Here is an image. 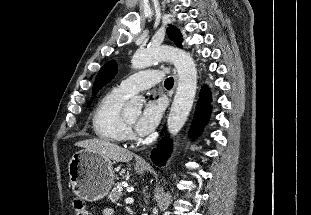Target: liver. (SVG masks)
Wrapping results in <instances>:
<instances>
[{
    "instance_id": "liver-1",
    "label": "liver",
    "mask_w": 311,
    "mask_h": 215,
    "mask_svg": "<svg viewBox=\"0 0 311 215\" xmlns=\"http://www.w3.org/2000/svg\"><path fill=\"white\" fill-rule=\"evenodd\" d=\"M75 146L85 148L86 150L99 154L110 161L129 162L133 158V154L130 151L98 138L76 142Z\"/></svg>"
}]
</instances>
